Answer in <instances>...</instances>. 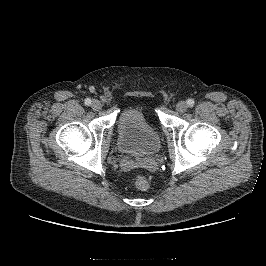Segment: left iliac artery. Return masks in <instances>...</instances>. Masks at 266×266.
Here are the masks:
<instances>
[{
    "label": "left iliac artery",
    "mask_w": 266,
    "mask_h": 266,
    "mask_svg": "<svg viewBox=\"0 0 266 266\" xmlns=\"http://www.w3.org/2000/svg\"><path fill=\"white\" fill-rule=\"evenodd\" d=\"M187 103L192 107L195 104V101L193 99H188Z\"/></svg>",
    "instance_id": "obj_1"
}]
</instances>
